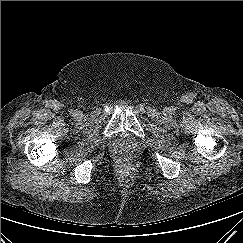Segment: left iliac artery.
<instances>
[{
	"instance_id": "44dca946",
	"label": "left iliac artery",
	"mask_w": 243,
	"mask_h": 243,
	"mask_svg": "<svg viewBox=\"0 0 243 243\" xmlns=\"http://www.w3.org/2000/svg\"><path fill=\"white\" fill-rule=\"evenodd\" d=\"M170 110L174 111L175 109L172 107Z\"/></svg>"
}]
</instances>
